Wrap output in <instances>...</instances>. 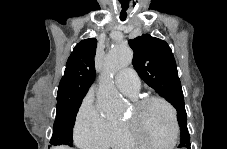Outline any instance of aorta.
<instances>
[{
  "mask_svg": "<svg viewBox=\"0 0 227 149\" xmlns=\"http://www.w3.org/2000/svg\"><path fill=\"white\" fill-rule=\"evenodd\" d=\"M132 57L129 47L115 43L105 58L96 94L98 111L105 117H115L121 113L123 100L114 86L113 78L118 71L131 64Z\"/></svg>",
  "mask_w": 227,
  "mask_h": 149,
  "instance_id": "obj_1",
  "label": "aorta"
}]
</instances>
